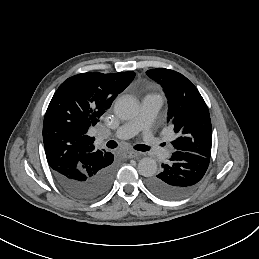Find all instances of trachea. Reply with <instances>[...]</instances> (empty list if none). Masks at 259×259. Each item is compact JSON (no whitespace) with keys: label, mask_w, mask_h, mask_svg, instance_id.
Returning a JSON list of instances; mask_svg holds the SVG:
<instances>
[{"label":"trachea","mask_w":259,"mask_h":259,"mask_svg":"<svg viewBox=\"0 0 259 259\" xmlns=\"http://www.w3.org/2000/svg\"><path fill=\"white\" fill-rule=\"evenodd\" d=\"M106 146L108 148H116V147H118V144L115 141L110 140V141L107 142ZM133 148L135 150L142 151V152H145V151L149 150V147L144 145V144L134 145Z\"/></svg>","instance_id":"trachea-1"}]
</instances>
